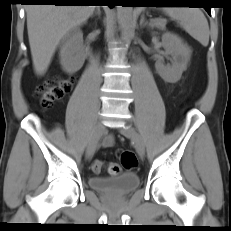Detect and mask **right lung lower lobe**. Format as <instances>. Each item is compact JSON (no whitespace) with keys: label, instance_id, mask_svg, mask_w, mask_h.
Segmentation results:
<instances>
[{"label":"right lung lower lobe","instance_id":"right-lung-lower-lobe-1","mask_svg":"<svg viewBox=\"0 0 231 231\" xmlns=\"http://www.w3.org/2000/svg\"><path fill=\"white\" fill-rule=\"evenodd\" d=\"M23 1L28 3H51L54 5H78L76 2H71L76 0H23ZM109 6L111 8L113 7L111 3H109Z\"/></svg>","mask_w":231,"mask_h":231}]
</instances>
